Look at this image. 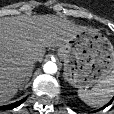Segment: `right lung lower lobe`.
Masks as SVG:
<instances>
[{"mask_svg":"<svg viewBox=\"0 0 114 114\" xmlns=\"http://www.w3.org/2000/svg\"><path fill=\"white\" fill-rule=\"evenodd\" d=\"M26 100V98H23L22 100L20 101H17L15 103H12V104H9V105H6V106H1L0 107V110H3V109H13L17 106H19L22 102H24Z\"/></svg>","mask_w":114,"mask_h":114,"instance_id":"98d812e1","label":"right lung lower lobe"}]
</instances>
